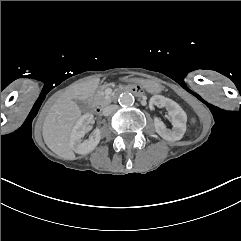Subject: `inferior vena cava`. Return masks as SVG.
I'll return each instance as SVG.
<instances>
[{"mask_svg": "<svg viewBox=\"0 0 241 241\" xmlns=\"http://www.w3.org/2000/svg\"><path fill=\"white\" fill-rule=\"evenodd\" d=\"M118 109L117 105H108L103 109V115L104 116H108L110 115L112 112L116 111Z\"/></svg>", "mask_w": 241, "mask_h": 241, "instance_id": "602c4592", "label": "inferior vena cava"}]
</instances>
